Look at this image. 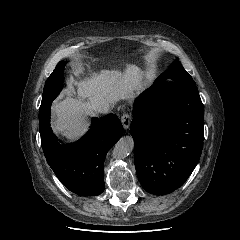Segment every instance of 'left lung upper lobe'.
Here are the masks:
<instances>
[{
	"mask_svg": "<svg viewBox=\"0 0 240 240\" xmlns=\"http://www.w3.org/2000/svg\"><path fill=\"white\" fill-rule=\"evenodd\" d=\"M162 80L196 84L177 59L172 64L170 70L165 75L159 77L156 82H160Z\"/></svg>",
	"mask_w": 240,
	"mask_h": 240,
	"instance_id": "1",
	"label": "left lung upper lobe"
}]
</instances>
